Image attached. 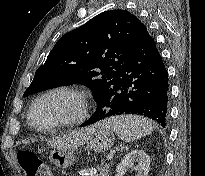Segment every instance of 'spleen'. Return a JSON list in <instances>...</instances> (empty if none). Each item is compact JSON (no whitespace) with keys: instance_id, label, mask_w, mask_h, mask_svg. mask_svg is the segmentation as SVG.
I'll return each instance as SVG.
<instances>
[{"instance_id":"1","label":"spleen","mask_w":205,"mask_h":176,"mask_svg":"<svg viewBox=\"0 0 205 176\" xmlns=\"http://www.w3.org/2000/svg\"><path fill=\"white\" fill-rule=\"evenodd\" d=\"M99 124L114 131L125 142L140 139L153 131L151 123L146 118L133 115L114 116Z\"/></svg>"}]
</instances>
